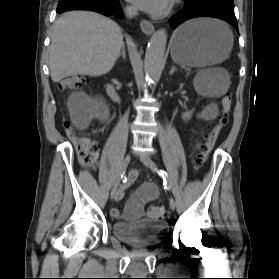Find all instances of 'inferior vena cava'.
<instances>
[{"label":"inferior vena cava","instance_id":"1","mask_svg":"<svg viewBox=\"0 0 279 279\" xmlns=\"http://www.w3.org/2000/svg\"><path fill=\"white\" fill-rule=\"evenodd\" d=\"M125 13L129 18H133L138 14V11L135 7L129 6L126 8Z\"/></svg>","mask_w":279,"mask_h":279}]
</instances>
